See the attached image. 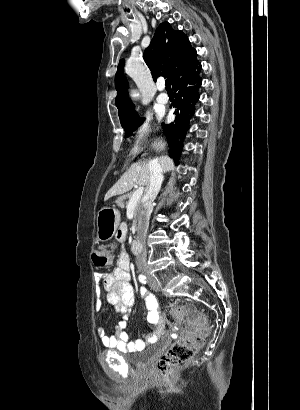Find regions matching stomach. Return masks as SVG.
I'll use <instances>...</instances> for the list:
<instances>
[{
    "instance_id": "obj_1",
    "label": "stomach",
    "mask_w": 300,
    "mask_h": 410,
    "mask_svg": "<svg viewBox=\"0 0 300 410\" xmlns=\"http://www.w3.org/2000/svg\"><path fill=\"white\" fill-rule=\"evenodd\" d=\"M120 223V214L110 206L103 207L97 215V238L107 241L115 234Z\"/></svg>"
}]
</instances>
